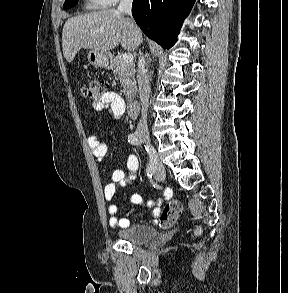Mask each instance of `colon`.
<instances>
[{
    "mask_svg": "<svg viewBox=\"0 0 288 293\" xmlns=\"http://www.w3.org/2000/svg\"><path fill=\"white\" fill-rule=\"evenodd\" d=\"M107 92V84L103 80L92 79L87 85L83 86L81 93L85 98L98 101ZM182 212V203L173 199L165 204V206L160 211L157 221L159 225L163 228L171 227L179 218ZM198 234L201 233V229L198 228L196 231Z\"/></svg>",
    "mask_w": 288,
    "mask_h": 293,
    "instance_id": "5ec220e1",
    "label": "colon"
}]
</instances>
